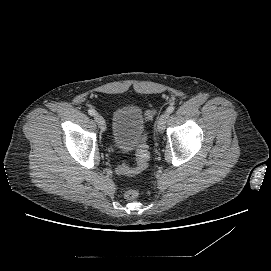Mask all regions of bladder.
<instances>
[{
	"label": "bladder",
	"mask_w": 271,
	"mask_h": 271,
	"mask_svg": "<svg viewBox=\"0 0 271 271\" xmlns=\"http://www.w3.org/2000/svg\"><path fill=\"white\" fill-rule=\"evenodd\" d=\"M145 120L142 109L136 105L117 107L112 115L111 139L113 146L122 152L130 151L142 137Z\"/></svg>",
	"instance_id": "31cf9c89"
}]
</instances>
